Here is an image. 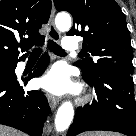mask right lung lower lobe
I'll return each instance as SVG.
<instances>
[{
	"label": "right lung lower lobe",
	"mask_w": 136,
	"mask_h": 136,
	"mask_svg": "<svg viewBox=\"0 0 136 136\" xmlns=\"http://www.w3.org/2000/svg\"><path fill=\"white\" fill-rule=\"evenodd\" d=\"M48 64L49 58L45 54L27 78L18 81L15 75L11 79H0V124L30 136H42L44 122L50 113L48 101L41 91L26 92L23 86L33 77L42 75Z\"/></svg>",
	"instance_id": "1"
}]
</instances>
